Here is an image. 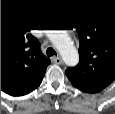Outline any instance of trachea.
Instances as JSON below:
<instances>
[{
  "instance_id": "3493384b",
  "label": "trachea",
  "mask_w": 115,
  "mask_h": 114,
  "mask_svg": "<svg viewBox=\"0 0 115 114\" xmlns=\"http://www.w3.org/2000/svg\"><path fill=\"white\" fill-rule=\"evenodd\" d=\"M46 53H47V56H49V57L57 55L56 51L53 48H51V47L47 49Z\"/></svg>"
}]
</instances>
